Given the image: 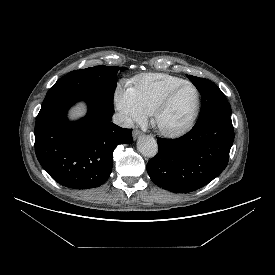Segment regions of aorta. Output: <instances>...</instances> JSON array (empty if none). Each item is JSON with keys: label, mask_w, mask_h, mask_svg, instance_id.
<instances>
[{"label": "aorta", "mask_w": 275, "mask_h": 275, "mask_svg": "<svg viewBox=\"0 0 275 275\" xmlns=\"http://www.w3.org/2000/svg\"><path fill=\"white\" fill-rule=\"evenodd\" d=\"M137 148L142 155L149 158L154 157L158 152L156 140L147 135H143L138 139Z\"/></svg>", "instance_id": "762f6f07"}]
</instances>
